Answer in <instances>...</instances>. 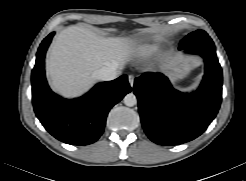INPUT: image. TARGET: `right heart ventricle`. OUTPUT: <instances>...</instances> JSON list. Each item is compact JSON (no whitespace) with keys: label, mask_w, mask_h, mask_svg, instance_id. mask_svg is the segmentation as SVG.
Here are the masks:
<instances>
[{"label":"right heart ventricle","mask_w":246,"mask_h":181,"mask_svg":"<svg viewBox=\"0 0 246 181\" xmlns=\"http://www.w3.org/2000/svg\"><path fill=\"white\" fill-rule=\"evenodd\" d=\"M157 47L155 45H146L140 48L139 53L143 56L151 55L156 51Z\"/></svg>","instance_id":"1"}]
</instances>
